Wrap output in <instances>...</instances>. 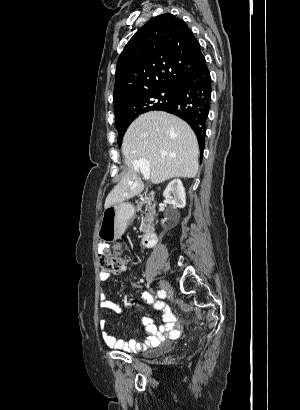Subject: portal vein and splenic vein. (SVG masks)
I'll list each match as a JSON object with an SVG mask.
<instances>
[{
    "mask_svg": "<svg viewBox=\"0 0 300 410\" xmlns=\"http://www.w3.org/2000/svg\"><path fill=\"white\" fill-rule=\"evenodd\" d=\"M134 168L136 171L141 172L145 180L150 179V169H149V161L146 159H140L134 163Z\"/></svg>",
    "mask_w": 300,
    "mask_h": 410,
    "instance_id": "18ae733b",
    "label": "portal vein and splenic vein"
}]
</instances>
